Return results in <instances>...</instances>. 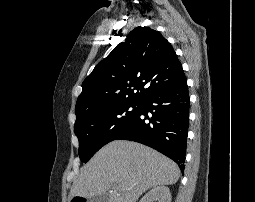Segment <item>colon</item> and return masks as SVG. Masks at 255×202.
Wrapping results in <instances>:
<instances>
[{
  "instance_id": "1",
  "label": "colon",
  "mask_w": 255,
  "mask_h": 202,
  "mask_svg": "<svg viewBox=\"0 0 255 202\" xmlns=\"http://www.w3.org/2000/svg\"><path fill=\"white\" fill-rule=\"evenodd\" d=\"M71 202H85L82 198H74Z\"/></svg>"
}]
</instances>
